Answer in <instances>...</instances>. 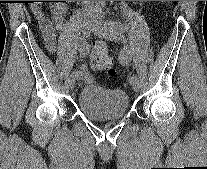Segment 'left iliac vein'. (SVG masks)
<instances>
[{
    "mask_svg": "<svg viewBox=\"0 0 207 169\" xmlns=\"http://www.w3.org/2000/svg\"><path fill=\"white\" fill-rule=\"evenodd\" d=\"M92 31L94 32V34L110 41H119L121 38L118 31L113 27L112 22L95 20L93 23ZM130 84L136 92H138L141 88V84L138 79L131 81Z\"/></svg>",
    "mask_w": 207,
    "mask_h": 169,
    "instance_id": "4c4485c4",
    "label": "left iliac vein"
}]
</instances>
